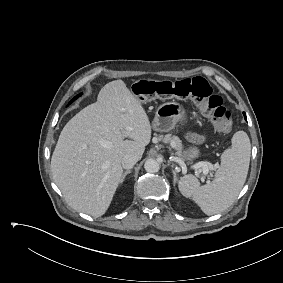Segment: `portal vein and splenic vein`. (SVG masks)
Here are the masks:
<instances>
[{
    "instance_id": "obj_1",
    "label": "portal vein and splenic vein",
    "mask_w": 283,
    "mask_h": 283,
    "mask_svg": "<svg viewBox=\"0 0 283 283\" xmlns=\"http://www.w3.org/2000/svg\"><path fill=\"white\" fill-rule=\"evenodd\" d=\"M202 167V172L204 175H207L209 170L213 167V165L210 162L202 161L194 165V169H199Z\"/></svg>"
}]
</instances>
